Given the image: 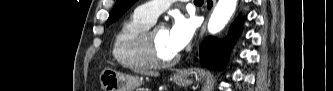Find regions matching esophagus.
Instances as JSON below:
<instances>
[{"label": "esophagus", "mask_w": 333, "mask_h": 91, "mask_svg": "<svg viewBox=\"0 0 333 91\" xmlns=\"http://www.w3.org/2000/svg\"><path fill=\"white\" fill-rule=\"evenodd\" d=\"M206 24H207V20L204 21L201 30H200V34H199V38L201 39L204 35L205 29H206ZM178 75H181V73H178Z\"/></svg>", "instance_id": "obj_1"}]
</instances>
